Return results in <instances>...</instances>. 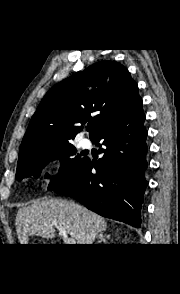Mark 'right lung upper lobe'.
<instances>
[{
  "mask_svg": "<svg viewBox=\"0 0 180 294\" xmlns=\"http://www.w3.org/2000/svg\"><path fill=\"white\" fill-rule=\"evenodd\" d=\"M138 86L124 66L100 61L80 74L53 86L33 115L19 149L21 162L35 152L68 144L82 126L94 120L88 129L90 138L140 100ZM93 112H98L94 118Z\"/></svg>",
  "mask_w": 180,
  "mask_h": 294,
  "instance_id": "cb5924a9",
  "label": "right lung upper lobe"
}]
</instances>
